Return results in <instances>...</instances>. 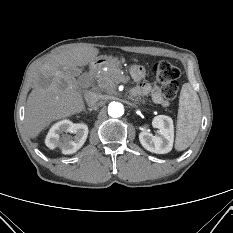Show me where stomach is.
Listing matches in <instances>:
<instances>
[{
  "label": "stomach",
  "instance_id": "0dacf381",
  "mask_svg": "<svg viewBox=\"0 0 233 233\" xmlns=\"http://www.w3.org/2000/svg\"><path fill=\"white\" fill-rule=\"evenodd\" d=\"M120 65V61L112 56H100L91 62L92 68H103L104 66L116 67Z\"/></svg>",
  "mask_w": 233,
  "mask_h": 233
}]
</instances>
